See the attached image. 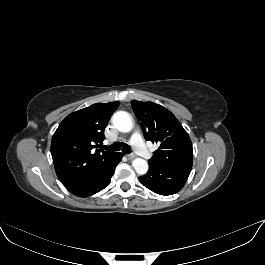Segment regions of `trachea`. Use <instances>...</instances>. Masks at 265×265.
<instances>
[{"instance_id": "obj_1", "label": "trachea", "mask_w": 265, "mask_h": 265, "mask_svg": "<svg viewBox=\"0 0 265 265\" xmlns=\"http://www.w3.org/2000/svg\"><path fill=\"white\" fill-rule=\"evenodd\" d=\"M102 149L108 151H120L122 149V152L125 154L131 153L130 146L127 144H123L122 142H116L110 146H103Z\"/></svg>"}]
</instances>
